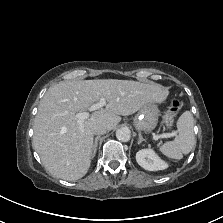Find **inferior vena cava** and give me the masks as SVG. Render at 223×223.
<instances>
[{"label": "inferior vena cava", "mask_w": 223, "mask_h": 223, "mask_svg": "<svg viewBox=\"0 0 223 223\" xmlns=\"http://www.w3.org/2000/svg\"><path fill=\"white\" fill-rule=\"evenodd\" d=\"M107 131V127L103 124H96L92 127L93 134L102 135L105 134Z\"/></svg>", "instance_id": "602c4592"}]
</instances>
